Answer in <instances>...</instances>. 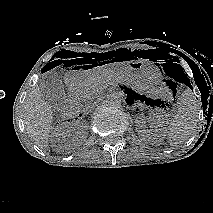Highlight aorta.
<instances>
[{"mask_svg": "<svg viewBox=\"0 0 213 213\" xmlns=\"http://www.w3.org/2000/svg\"><path fill=\"white\" fill-rule=\"evenodd\" d=\"M108 104L113 107H120L122 104V97L118 93H113L107 100Z\"/></svg>", "mask_w": 213, "mask_h": 213, "instance_id": "aorta-1", "label": "aorta"}]
</instances>
